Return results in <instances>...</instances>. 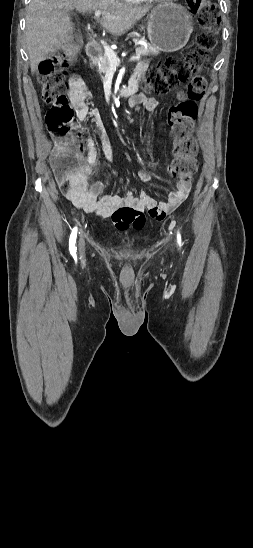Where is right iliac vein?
<instances>
[{"label":"right iliac vein","instance_id":"right-iliac-vein-1","mask_svg":"<svg viewBox=\"0 0 253 548\" xmlns=\"http://www.w3.org/2000/svg\"><path fill=\"white\" fill-rule=\"evenodd\" d=\"M78 247H79L80 254H83L84 251H85V241H84L83 236H81L80 239H79Z\"/></svg>","mask_w":253,"mask_h":548}]
</instances>
